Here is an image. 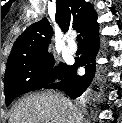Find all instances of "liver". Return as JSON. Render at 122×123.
I'll return each mask as SVG.
<instances>
[{
    "label": "liver",
    "mask_w": 122,
    "mask_h": 123,
    "mask_svg": "<svg viewBox=\"0 0 122 123\" xmlns=\"http://www.w3.org/2000/svg\"><path fill=\"white\" fill-rule=\"evenodd\" d=\"M82 120L80 110L65 96L42 91L19 100L9 123H82Z\"/></svg>",
    "instance_id": "obj_1"
}]
</instances>
